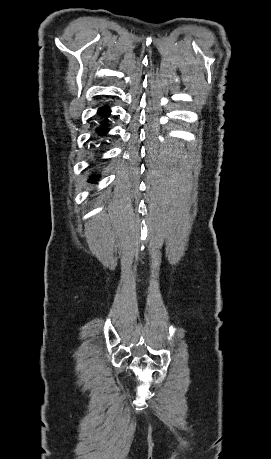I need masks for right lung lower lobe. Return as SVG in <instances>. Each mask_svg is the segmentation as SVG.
<instances>
[{"label": "right lung lower lobe", "instance_id": "98d812e1", "mask_svg": "<svg viewBox=\"0 0 271 459\" xmlns=\"http://www.w3.org/2000/svg\"><path fill=\"white\" fill-rule=\"evenodd\" d=\"M110 112L111 110L109 109L107 105L100 107L98 109V116L100 119H102V121L100 122L101 125L95 129V132L100 138L104 137L105 134L109 131V127L107 124V117L109 116ZM91 178L95 180L97 176L94 175Z\"/></svg>", "mask_w": 271, "mask_h": 459}]
</instances>
